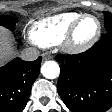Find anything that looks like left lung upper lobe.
<instances>
[{
	"label": "left lung upper lobe",
	"instance_id": "5c2ea615",
	"mask_svg": "<svg viewBox=\"0 0 112 112\" xmlns=\"http://www.w3.org/2000/svg\"><path fill=\"white\" fill-rule=\"evenodd\" d=\"M105 16L104 27L106 32L112 31V14L108 11L103 12Z\"/></svg>",
	"mask_w": 112,
	"mask_h": 112
}]
</instances>
